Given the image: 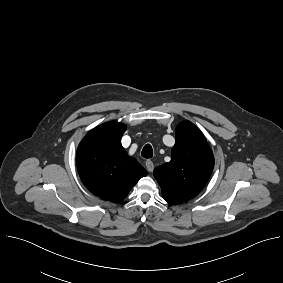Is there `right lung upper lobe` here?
I'll return each mask as SVG.
<instances>
[{"label": "right lung upper lobe", "instance_id": "right-lung-upper-lobe-1", "mask_svg": "<svg viewBox=\"0 0 283 283\" xmlns=\"http://www.w3.org/2000/svg\"><path fill=\"white\" fill-rule=\"evenodd\" d=\"M126 126L101 124L82 139L77 149V168L86 188L101 199L118 202L147 171L121 145Z\"/></svg>", "mask_w": 283, "mask_h": 283}]
</instances>
